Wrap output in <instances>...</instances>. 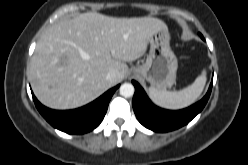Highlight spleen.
Instances as JSON below:
<instances>
[{
	"label": "spleen",
	"instance_id": "3e777b00",
	"mask_svg": "<svg viewBox=\"0 0 248 165\" xmlns=\"http://www.w3.org/2000/svg\"><path fill=\"white\" fill-rule=\"evenodd\" d=\"M206 70H203L193 84L179 91H163L154 87L149 88V96L152 101L166 109H182L192 103L201 95L206 84Z\"/></svg>",
	"mask_w": 248,
	"mask_h": 165
}]
</instances>
